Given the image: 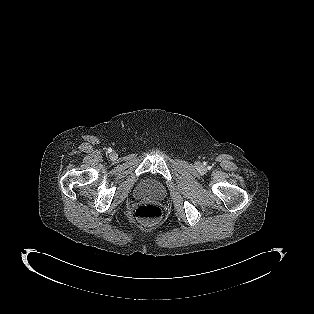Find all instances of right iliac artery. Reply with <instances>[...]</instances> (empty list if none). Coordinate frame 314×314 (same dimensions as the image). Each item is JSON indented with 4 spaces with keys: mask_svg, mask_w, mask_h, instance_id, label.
I'll list each match as a JSON object with an SVG mask.
<instances>
[{
    "mask_svg": "<svg viewBox=\"0 0 314 314\" xmlns=\"http://www.w3.org/2000/svg\"><path fill=\"white\" fill-rule=\"evenodd\" d=\"M107 152H108V153L112 152V149H111V148H108V149H107Z\"/></svg>",
    "mask_w": 314,
    "mask_h": 314,
    "instance_id": "right-iliac-artery-1",
    "label": "right iliac artery"
}]
</instances>
